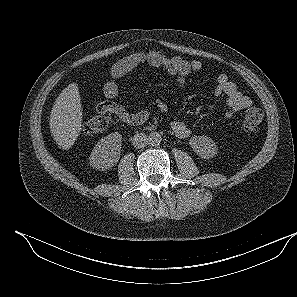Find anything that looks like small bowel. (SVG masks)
Here are the masks:
<instances>
[{
    "label": "small bowel",
    "instance_id": "c3829d8e",
    "mask_svg": "<svg viewBox=\"0 0 297 297\" xmlns=\"http://www.w3.org/2000/svg\"><path fill=\"white\" fill-rule=\"evenodd\" d=\"M140 64H148L149 66L160 68L175 77L179 89H184L188 75L198 72L203 68V62L200 60L187 61L179 56H168L157 50L126 55L111 67V79L105 83L103 88L104 96L107 100L98 104V112H109L120 121L131 125L141 124L148 119V111L140 110L135 113H128L121 105L113 101L121 93L117 79ZM214 94L216 96L224 95L226 97V117H231L234 113L244 110L252 104L251 99L241 93L226 74H220L218 76ZM170 126L175 135L180 139H186L191 136V129L182 121L174 120Z\"/></svg>",
    "mask_w": 297,
    "mask_h": 297
}]
</instances>
